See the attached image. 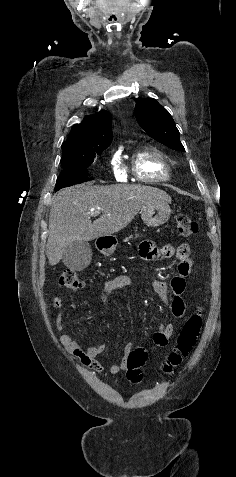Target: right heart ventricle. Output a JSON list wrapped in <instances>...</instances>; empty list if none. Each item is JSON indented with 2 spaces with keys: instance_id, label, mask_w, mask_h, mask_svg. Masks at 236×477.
<instances>
[{
  "instance_id": "1",
  "label": "right heart ventricle",
  "mask_w": 236,
  "mask_h": 477,
  "mask_svg": "<svg viewBox=\"0 0 236 477\" xmlns=\"http://www.w3.org/2000/svg\"><path fill=\"white\" fill-rule=\"evenodd\" d=\"M131 171L138 181L146 183L167 181L170 178V168L156 148H147L134 154Z\"/></svg>"
}]
</instances>
